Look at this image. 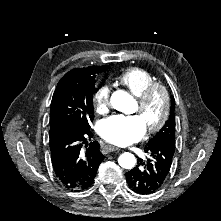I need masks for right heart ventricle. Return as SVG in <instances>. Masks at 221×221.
<instances>
[{
  "instance_id": "right-heart-ventricle-1",
  "label": "right heart ventricle",
  "mask_w": 221,
  "mask_h": 221,
  "mask_svg": "<svg viewBox=\"0 0 221 221\" xmlns=\"http://www.w3.org/2000/svg\"><path fill=\"white\" fill-rule=\"evenodd\" d=\"M115 81L126 87L134 96L140 97L149 86L157 82V79L144 68L130 67L118 74Z\"/></svg>"
}]
</instances>
